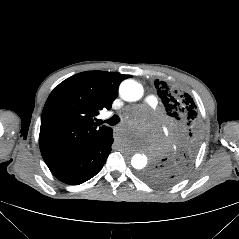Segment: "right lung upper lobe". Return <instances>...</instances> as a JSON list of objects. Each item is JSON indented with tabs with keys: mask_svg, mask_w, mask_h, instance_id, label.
<instances>
[{
	"mask_svg": "<svg viewBox=\"0 0 239 239\" xmlns=\"http://www.w3.org/2000/svg\"><path fill=\"white\" fill-rule=\"evenodd\" d=\"M131 75L88 71L60 83L49 95L41 116L39 146L52 164L88 146L109 127H97L93 117L110 109L120 83Z\"/></svg>",
	"mask_w": 239,
	"mask_h": 239,
	"instance_id": "1",
	"label": "right lung upper lobe"
}]
</instances>
